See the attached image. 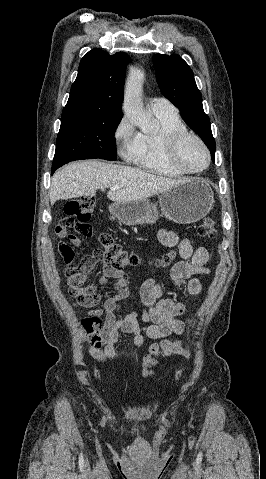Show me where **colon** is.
Masks as SVG:
<instances>
[{"label": "colon", "mask_w": 266, "mask_h": 479, "mask_svg": "<svg viewBox=\"0 0 266 479\" xmlns=\"http://www.w3.org/2000/svg\"><path fill=\"white\" fill-rule=\"evenodd\" d=\"M95 207V199L92 196H83L70 199L64 206L65 216L56 227V234L65 237L70 229H74L81 235L92 236L94 229L89 223L91 214ZM198 233L206 239H213L217 236L215 220L211 217L203 219L198 228ZM100 248L105 261L117 270H123L135 265L137 258L129 253L115 238L108 232H102L97 236ZM58 252L67 263H72L75 258V251L67 242L58 243ZM174 261V254H165L159 261L162 267L170 266ZM80 268V265L78 266ZM70 294L74 297L85 298L89 305H95L102 301L103 295L96 291L93 284L84 285L79 283V276H74L69 284ZM161 355L189 356L188 349L180 341L162 340L151 345L149 352L143 357V376L149 378L153 375L152 367Z\"/></svg>", "instance_id": "colon-1"}]
</instances>
